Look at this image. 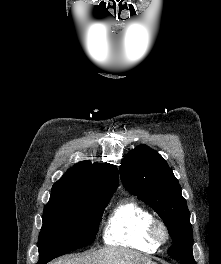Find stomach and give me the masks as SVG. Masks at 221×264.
I'll return each mask as SVG.
<instances>
[{
	"label": "stomach",
	"instance_id": "stomach-1",
	"mask_svg": "<svg viewBox=\"0 0 221 264\" xmlns=\"http://www.w3.org/2000/svg\"><path fill=\"white\" fill-rule=\"evenodd\" d=\"M143 264H157L156 262H153V261H151V262H145V263H143Z\"/></svg>",
	"mask_w": 221,
	"mask_h": 264
}]
</instances>
